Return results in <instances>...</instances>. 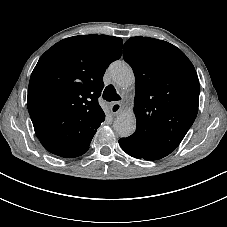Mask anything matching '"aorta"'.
Masks as SVG:
<instances>
[{
    "instance_id": "aorta-1",
    "label": "aorta",
    "mask_w": 227,
    "mask_h": 227,
    "mask_svg": "<svg viewBox=\"0 0 227 227\" xmlns=\"http://www.w3.org/2000/svg\"><path fill=\"white\" fill-rule=\"evenodd\" d=\"M109 74L119 87L126 89L134 84L135 77L132 68L124 61H115L109 67ZM115 132L121 137L133 134L136 128V117L132 111L120 113L113 123Z\"/></svg>"
}]
</instances>
